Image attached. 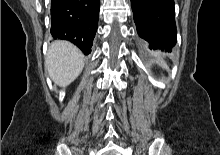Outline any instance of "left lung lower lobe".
<instances>
[{
    "label": "left lung lower lobe",
    "mask_w": 220,
    "mask_h": 155,
    "mask_svg": "<svg viewBox=\"0 0 220 155\" xmlns=\"http://www.w3.org/2000/svg\"><path fill=\"white\" fill-rule=\"evenodd\" d=\"M131 5L143 45L171 51L177 41L174 0H131Z\"/></svg>",
    "instance_id": "left-lung-lower-lobe-1"
}]
</instances>
